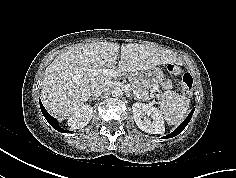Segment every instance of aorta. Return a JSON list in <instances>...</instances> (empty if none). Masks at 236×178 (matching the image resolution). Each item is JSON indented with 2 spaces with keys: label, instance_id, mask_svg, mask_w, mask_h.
Wrapping results in <instances>:
<instances>
[{
  "label": "aorta",
  "instance_id": "762f6f07",
  "mask_svg": "<svg viewBox=\"0 0 236 178\" xmlns=\"http://www.w3.org/2000/svg\"><path fill=\"white\" fill-rule=\"evenodd\" d=\"M123 94H124L123 89L118 86L112 89V95L114 97H121Z\"/></svg>",
  "mask_w": 236,
  "mask_h": 178
}]
</instances>
